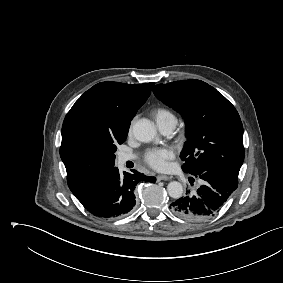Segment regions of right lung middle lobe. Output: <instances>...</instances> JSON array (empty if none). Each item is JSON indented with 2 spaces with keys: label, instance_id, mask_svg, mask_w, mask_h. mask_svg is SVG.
Returning <instances> with one entry per match:
<instances>
[{
  "label": "right lung middle lobe",
  "instance_id": "right-lung-middle-lobe-1",
  "mask_svg": "<svg viewBox=\"0 0 283 283\" xmlns=\"http://www.w3.org/2000/svg\"><path fill=\"white\" fill-rule=\"evenodd\" d=\"M127 134H124L122 136H120L119 138H117L116 140H113L109 143V147H110V151L114 154L117 147V144H122L125 140H126Z\"/></svg>",
  "mask_w": 283,
  "mask_h": 283
}]
</instances>
